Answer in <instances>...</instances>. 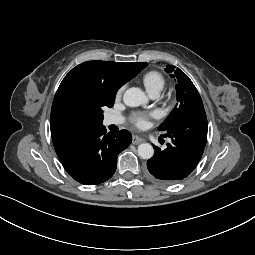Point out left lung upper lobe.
<instances>
[{
  "mask_svg": "<svg viewBox=\"0 0 255 255\" xmlns=\"http://www.w3.org/2000/svg\"><path fill=\"white\" fill-rule=\"evenodd\" d=\"M165 71L171 73V77L177 80L176 93L177 105L169 117L158 127L159 131L166 132L170 127L194 113L196 110L204 108L202 99L189 77L179 68L167 65Z\"/></svg>",
  "mask_w": 255,
  "mask_h": 255,
  "instance_id": "5c2ea615",
  "label": "left lung upper lobe"
}]
</instances>
